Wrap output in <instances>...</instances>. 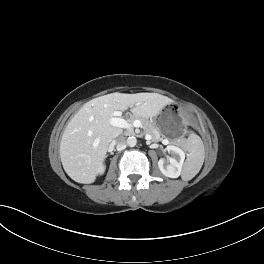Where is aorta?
Returning a JSON list of instances; mask_svg holds the SVG:
<instances>
[{"label": "aorta", "instance_id": "aorta-1", "mask_svg": "<svg viewBox=\"0 0 264 264\" xmlns=\"http://www.w3.org/2000/svg\"><path fill=\"white\" fill-rule=\"evenodd\" d=\"M126 143L129 147H134L137 144V139L134 136L128 137Z\"/></svg>", "mask_w": 264, "mask_h": 264}]
</instances>
